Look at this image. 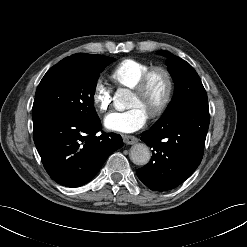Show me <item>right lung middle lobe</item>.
<instances>
[{
	"instance_id": "1",
	"label": "right lung middle lobe",
	"mask_w": 247,
	"mask_h": 247,
	"mask_svg": "<svg viewBox=\"0 0 247 247\" xmlns=\"http://www.w3.org/2000/svg\"><path fill=\"white\" fill-rule=\"evenodd\" d=\"M113 61L111 57L90 55L63 59L51 67L36 90L33 121L70 113L86 119L98 117L94 108L97 80Z\"/></svg>"
}]
</instances>
